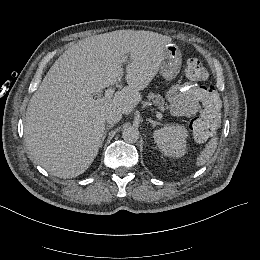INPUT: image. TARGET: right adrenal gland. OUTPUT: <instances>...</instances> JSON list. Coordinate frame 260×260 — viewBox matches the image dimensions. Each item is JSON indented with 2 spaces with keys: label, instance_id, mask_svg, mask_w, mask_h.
<instances>
[{
  "label": "right adrenal gland",
  "instance_id": "obj_1",
  "mask_svg": "<svg viewBox=\"0 0 260 260\" xmlns=\"http://www.w3.org/2000/svg\"><path fill=\"white\" fill-rule=\"evenodd\" d=\"M113 126H114V125H106L105 130H104V133H103V137H102V143H103V141H104V139H105V137H106L107 132H108Z\"/></svg>",
  "mask_w": 260,
  "mask_h": 260
}]
</instances>
